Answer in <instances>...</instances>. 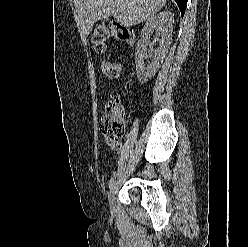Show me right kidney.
Segmentation results:
<instances>
[{"label": "right kidney", "instance_id": "1", "mask_svg": "<svg viewBox=\"0 0 248 247\" xmlns=\"http://www.w3.org/2000/svg\"><path fill=\"white\" fill-rule=\"evenodd\" d=\"M173 23L174 14L172 12H159L148 18L141 30V39L137 44L135 53L136 72L140 83H146L151 79L163 62L171 44ZM153 32L159 47L154 51L152 62L146 66L144 62L148 58L146 49L150 44V37Z\"/></svg>", "mask_w": 248, "mask_h": 247}]
</instances>
